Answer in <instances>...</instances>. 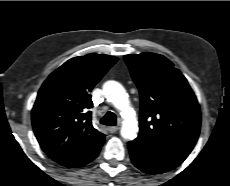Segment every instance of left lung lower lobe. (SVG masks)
I'll return each instance as SVG.
<instances>
[{
  "instance_id": "left-lung-lower-lobe-1",
  "label": "left lung lower lobe",
  "mask_w": 230,
  "mask_h": 186,
  "mask_svg": "<svg viewBox=\"0 0 230 186\" xmlns=\"http://www.w3.org/2000/svg\"><path fill=\"white\" fill-rule=\"evenodd\" d=\"M131 160L141 171L160 174L180 165L189 153L156 146L136 138L128 143Z\"/></svg>"
}]
</instances>
